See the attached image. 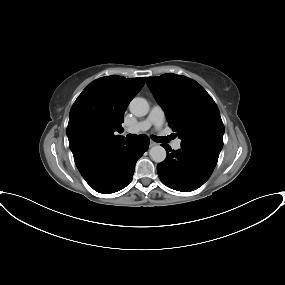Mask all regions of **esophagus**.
Returning a JSON list of instances; mask_svg holds the SVG:
<instances>
[{
	"label": "esophagus",
	"instance_id": "esophagus-1",
	"mask_svg": "<svg viewBox=\"0 0 285 285\" xmlns=\"http://www.w3.org/2000/svg\"><path fill=\"white\" fill-rule=\"evenodd\" d=\"M157 145V143L156 142H154V141H150V147H154V146H156Z\"/></svg>",
	"mask_w": 285,
	"mask_h": 285
}]
</instances>
